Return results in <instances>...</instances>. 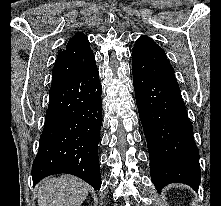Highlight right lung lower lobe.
<instances>
[{
	"mask_svg": "<svg viewBox=\"0 0 221 206\" xmlns=\"http://www.w3.org/2000/svg\"><path fill=\"white\" fill-rule=\"evenodd\" d=\"M101 92L96 63L51 86L45 125L32 166L33 185L46 176L67 173L100 189L97 148L102 124Z\"/></svg>",
	"mask_w": 221,
	"mask_h": 206,
	"instance_id": "right-lung-lower-lobe-1",
	"label": "right lung lower lobe"
}]
</instances>
